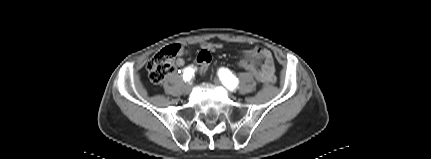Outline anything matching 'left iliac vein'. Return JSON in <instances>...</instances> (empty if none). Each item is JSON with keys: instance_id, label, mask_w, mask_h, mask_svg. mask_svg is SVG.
<instances>
[{"instance_id": "4c4485c4", "label": "left iliac vein", "mask_w": 431, "mask_h": 159, "mask_svg": "<svg viewBox=\"0 0 431 159\" xmlns=\"http://www.w3.org/2000/svg\"><path fill=\"white\" fill-rule=\"evenodd\" d=\"M213 82H214V84H215V85H217V86L222 85L221 81H220L218 78H215Z\"/></svg>"}]
</instances>
